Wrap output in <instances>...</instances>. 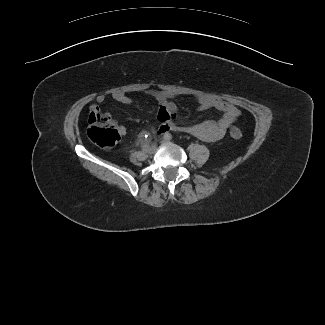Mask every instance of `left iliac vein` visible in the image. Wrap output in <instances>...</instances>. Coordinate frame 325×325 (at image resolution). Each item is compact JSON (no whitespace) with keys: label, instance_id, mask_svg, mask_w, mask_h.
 Instances as JSON below:
<instances>
[{"label":"left iliac vein","instance_id":"1","mask_svg":"<svg viewBox=\"0 0 325 325\" xmlns=\"http://www.w3.org/2000/svg\"><path fill=\"white\" fill-rule=\"evenodd\" d=\"M170 142V140H168V139H163L162 140V143H169Z\"/></svg>","mask_w":325,"mask_h":325}]
</instances>
